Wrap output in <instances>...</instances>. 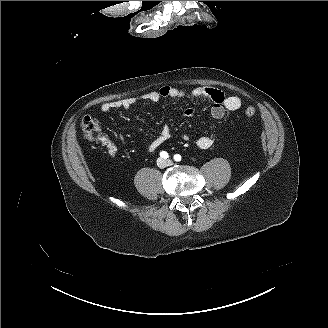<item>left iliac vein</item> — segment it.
I'll return each mask as SVG.
<instances>
[{
	"label": "left iliac vein",
	"instance_id": "4c4485c4",
	"mask_svg": "<svg viewBox=\"0 0 328 328\" xmlns=\"http://www.w3.org/2000/svg\"><path fill=\"white\" fill-rule=\"evenodd\" d=\"M168 165H172V162L170 160H167Z\"/></svg>",
	"mask_w": 328,
	"mask_h": 328
}]
</instances>
